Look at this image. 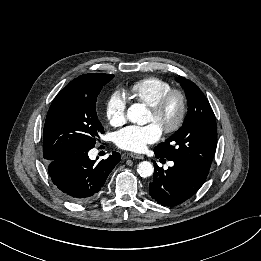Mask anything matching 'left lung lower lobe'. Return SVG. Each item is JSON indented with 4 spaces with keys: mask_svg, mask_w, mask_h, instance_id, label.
<instances>
[{
    "mask_svg": "<svg viewBox=\"0 0 261 261\" xmlns=\"http://www.w3.org/2000/svg\"><path fill=\"white\" fill-rule=\"evenodd\" d=\"M157 158L161 156L155 153ZM172 161V160H171ZM155 164L154 180L149 184L151 197L163 206L173 207L191 198L202 186L207 175L182 162L163 170Z\"/></svg>",
    "mask_w": 261,
    "mask_h": 261,
    "instance_id": "0a47b994",
    "label": "left lung lower lobe"
}]
</instances>
